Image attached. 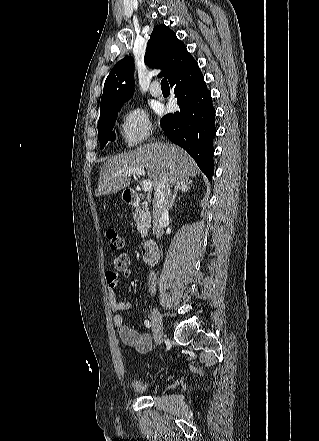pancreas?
Masks as SVG:
<instances>
[{
    "mask_svg": "<svg viewBox=\"0 0 319 441\" xmlns=\"http://www.w3.org/2000/svg\"><path fill=\"white\" fill-rule=\"evenodd\" d=\"M134 221L137 224V229L142 238L148 235V230L151 227V215L147 206H138L134 211Z\"/></svg>",
    "mask_w": 319,
    "mask_h": 441,
    "instance_id": "pancreas-1",
    "label": "pancreas"
}]
</instances>
